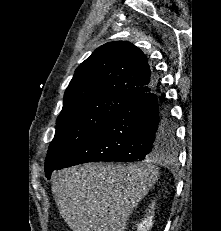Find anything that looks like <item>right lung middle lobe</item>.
I'll list each match as a JSON object with an SVG mask.
<instances>
[{
    "label": "right lung middle lobe",
    "mask_w": 221,
    "mask_h": 231,
    "mask_svg": "<svg viewBox=\"0 0 221 231\" xmlns=\"http://www.w3.org/2000/svg\"><path fill=\"white\" fill-rule=\"evenodd\" d=\"M128 102L116 96H93L63 108L48 149L45 173L52 172ZM171 139L174 142V136Z\"/></svg>",
    "instance_id": "obj_1"
}]
</instances>
